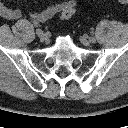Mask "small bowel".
<instances>
[{
	"label": "small bowel",
	"instance_id": "c3829d8e",
	"mask_svg": "<svg viewBox=\"0 0 128 128\" xmlns=\"http://www.w3.org/2000/svg\"><path fill=\"white\" fill-rule=\"evenodd\" d=\"M66 6L75 7L76 0H67L65 2L51 4L41 11H33L30 13V19L35 24L45 22L60 13ZM0 16L5 19L14 20L21 17V11L19 9L7 7L3 1L0 0Z\"/></svg>",
	"mask_w": 128,
	"mask_h": 128
}]
</instances>
